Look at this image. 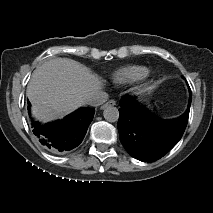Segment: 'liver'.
I'll use <instances>...</instances> for the list:
<instances>
[{
    "mask_svg": "<svg viewBox=\"0 0 213 213\" xmlns=\"http://www.w3.org/2000/svg\"><path fill=\"white\" fill-rule=\"evenodd\" d=\"M101 88L98 76L82 64L69 58H55L34 70L26 95L33 116L49 122L83 106L86 98Z\"/></svg>",
    "mask_w": 213,
    "mask_h": 213,
    "instance_id": "6515ba94",
    "label": "liver"
}]
</instances>
